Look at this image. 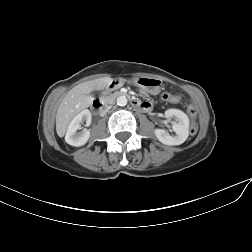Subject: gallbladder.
I'll return each instance as SVG.
<instances>
[{"mask_svg": "<svg viewBox=\"0 0 252 252\" xmlns=\"http://www.w3.org/2000/svg\"><path fill=\"white\" fill-rule=\"evenodd\" d=\"M94 97L98 96L99 95V92L98 91H94L91 93Z\"/></svg>", "mask_w": 252, "mask_h": 252, "instance_id": "bac80fb5", "label": "gallbladder"}]
</instances>
